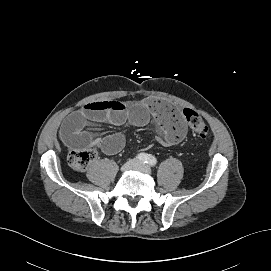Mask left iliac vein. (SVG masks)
Instances as JSON below:
<instances>
[{
  "instance_id": "4c4485c4",
  "label": "left iliac vein",
  "mask_w": 271,
  "mask_h": 271,
  "mask_svg": "<svg viewBox=\"0 0 271 271\" xmlns=\"http://www.w3.org/2000/svg\"><path fill=\"white\" fill-rule=\"evenodd\" d=\"M135 169L138 170V171H141V172H143L145 174H150L151 173L150 168L147 165H145L144 163H138V165H137V167Z\"/></svg>"
}]
</instances>
